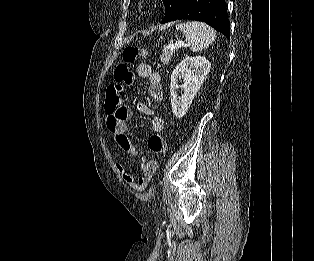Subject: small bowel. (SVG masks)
Masks as SVG:
<instances>
[{"label": "small bowel", "mask_w": 314, "mask_h": 261, "mask_svg": "<svg viewBox=\"0 0 314 261\" xmlns=\"http://www.w3.org/2000/svg\"><path fill=\"white\" fill-rule=\"evenodd\" d=\"M137 74L148 80V94L154 102H161L163 100V89L161 84V75L154 71L147 63H140L137 66ZM140 109L148 115H152V110L141 105ZM106 127L115 139L118 148L131 154L139 156L137 147L132 142L127 134V122L132 117V112L127 105L118 106L114 110H107ZM151 127L153 132L160 133L164 129V120L158 116H152ZM141 174L135 176L131 174L128 169L121 163H116L115 167L123 180L134 190L141 193L148 186L151 179L157 171V162L153 159L141 157Z\"/></svg>", "instance_id": "small-bowel-1"}]
</instances>
